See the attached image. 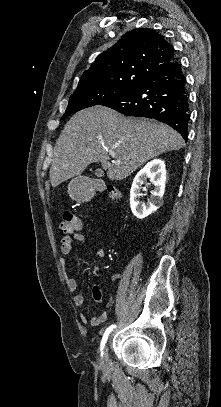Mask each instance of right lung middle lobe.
I'll return each instance as SVG.
<instances>
[{
    "instance_id": "right-lung-middle-lobe-1",
    "label": "right lung middle lobe",
    "mask_w": 221,
    "mask_h": 407,
    "mask_svg": "<svg viewBox=\"0 0 221 407\" xmlns=\"http://www.w3.org/2000/svg\"><path fill=\"white\" fill-rule=\"evenodd\" d=\"M135 86H111V85H96L84 89L76 90L71 95L65 114L62 119L67 116L82 110L84 108L103 105L104 103L114 100Z\"/></svg>"
}]
</instances>
